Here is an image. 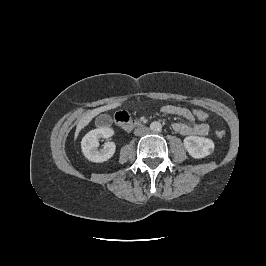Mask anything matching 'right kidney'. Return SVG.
Segmentation results:
<instances>
[{
  "instance_id": "right-kidney-1",
  "label": "right kidney",
  "mask_w": 266,
  "mask_h": 266,
  "mask_svg": "<svg viewBox=\"0 0 266 266\" xmlns=\"http://www.w3.org/2000/svg\"><path fill=\"white\" fill-rule=\"evenodd\" d=\"M109 127H101L88 132L81 141V148L84 156L96 163L110 159L115 153L116 146L113 142H107L102 149H98L100 138H109L113 135Z\"/></svg>"
}]
</instances>
